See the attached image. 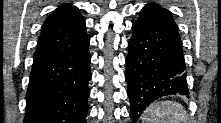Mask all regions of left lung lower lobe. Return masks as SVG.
<instances>
[{"mask_svg":"<svg viewBox=\"0 0 221 123\" xmlns=\"http://www.w3.org/2000/svg\"><path fill=\"white\" fill-rule=\"evenodd\" d=\"M132 30L126 80L135 122L157 98L189 92L182 42L171 13L158 4L149 3L141 10Z\"/></svg>","mask_w":221,"mask_h":123,"instance_id":"0a47b994","label":"left lung lower lobe"}]
</instances>
